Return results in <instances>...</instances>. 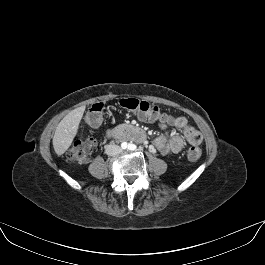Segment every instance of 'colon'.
I'll return each mask as SVG.
<instances>
[{"instance_id": "colon-1", "label": "colon", "mask_w": 265, "mask_h": 265, "mask_svg": "<svg viewBox=\"0 0 265 265\" xmlns=\"http://www.w3.org/2000/svg\"><path fill=\"white\" fill-rule=\"evenodd\" d=\"M118 106L141 115L156 118H163L166 116L159 106L136 98H123L118 102ZM103 112L104 106L102 103L92 105L86 113V122L92 127H97L102 122ZM94 147L95 140L93 138L78 140L68 149L67 157L70 160L85 163L89 161ZM201 154V149L193 146L188 150L187 156L190 160H197Z\"/></svg>"}]
</instances>
